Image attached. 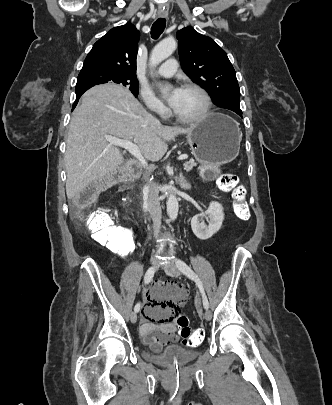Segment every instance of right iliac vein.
I'll list each match as a JSON object with an SVG mask.
<instances>
[{
	"label": "right iliac vein",
	"mask_w": 332,
	"mask_h": 405,
	"mask_svg": "<svg viewBox=\"0 0 332 405\" xmlns=\"http://www.w3.org/2000/svg\"><path fill=\"white\" fill-rule=\"evenodd\" d=\"M153 267L155 268V264L153 265ZM130 320L132 323H135L137 321V314L136 312H132L130 315Z\"/></svg>",
	"instance_id": "63e3f726"
}]
</instances>
